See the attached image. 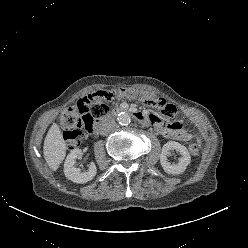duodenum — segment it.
<instances>
[{
  "instance_id": "obj_1",
  "label": "duodenum",
  "mask_w": 248,
  "mask_h": 248,
  "mask_svg": "<svg viewBox=\"0 0 248 248\" xmlns=\"http://www.w3.org/2000/svg\"><path fill=\"white\" fill-rule=\"evenodd\" d=\"M120 113H128L130 114L132 117H134L135 119H137L138 121H140L143 124H151L152 121L150 119L149 116L145 115L144 113L135 110V109H131L129 107H117L114 108L109 114H107L101 121H99L94 128V132L98 133V131L102 128L103 124L109 120L110 118L117 116Z\"/></svg>"
}]
</instances>
